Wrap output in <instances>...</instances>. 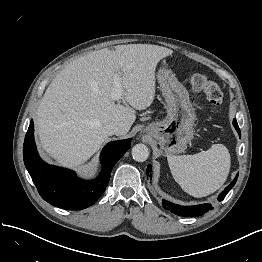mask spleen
I'll return each mask as SVG.
<instances>
[{
  "label": "spleen",
  "mask_w": 262,
  "mask_h": 262,
  "mask_svg": "<svg viewBox=\"0 0 262 262\" xmlns=\"http://www.w3.org/2000/svg\"><path fill=\"white\" fill-rule=\"evenodd\" d=\"M167 160L175 181L194 197L218 190L225 183L231 164L229 151L222 144L194 155H169Z\"/></svg>",
  "instance_id": "1"
}]
</instances>
